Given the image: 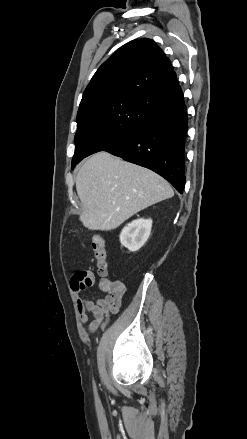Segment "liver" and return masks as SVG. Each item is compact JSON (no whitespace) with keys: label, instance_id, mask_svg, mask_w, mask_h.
<instances>
[{"label":"liver","instance_id":"liver-1","mask_svg":"<svg viewBox=\"0 0 247 439\" xmlns=\"http://www.w3.org/2000/svg\"><path fill=\"white\" fill-rule=\"evenodd\" d=\"M76 190L82 204L80 221L90 230L101 231L113 230L137 212L174 195L160 175L105 151L82 165Z\"/></svg>","mask_w":247,"mask_h":439}]
</instances>
